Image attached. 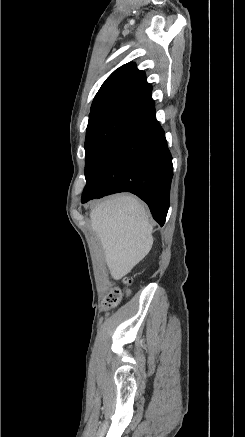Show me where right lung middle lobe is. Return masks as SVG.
Returning a JSON list of instances; mask_svg holds the SVG:
<instances>
[{"instance_id": "1", "label": "right lung middle lobe", "mask_w": 245, "mask_h": 437, "mask_svg": "<svg viewBox=\"0 0 245 437\" xmlns=\"http://www.w3.org/2000/svg\"><path fill=\"white\" fill-rule=\"evenodd\" d=\"M144 112L123 104H109L92 109L85 139V178L97 168L121 133L142 117Z\"/></svg>"}]
</instances>
